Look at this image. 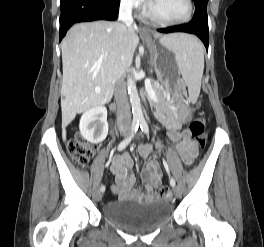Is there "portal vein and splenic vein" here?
<instances>
[{"mask_svg":"<svg viewBox=\"0 0 264 247\" xmlns=\"http://www.w3.org/2000/svg\"><path fill=\"white\" fill-rule=\"evenodd\" d=\"M147 82H150V80L149 79H147ZM96 92H99L98 90H96Z\"/></svg>","mask_w":264,"mask_h":247,"instance_id":"18ae733b","label":"portal vein and splenic vein"}]
</instances>
